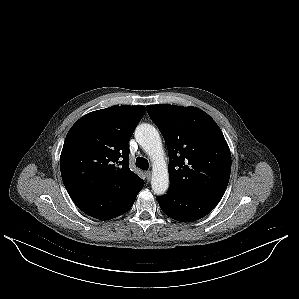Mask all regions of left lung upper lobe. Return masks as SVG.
I'll return each instance as SVG.
<instances>
[{
  "label": "left lung upper lobe",
  "mask_w": 299,
  "mask_h": 299,
  "mask_svg": "<svg viewBox=\"0 0 299 299\" xmlns=\"http://www.w3.org/2000/svg\"><path fill=\"white\" fill-rule=\"evenodd\" d=\"M169 155V192L223 196L230 178L231 154L216 122L196 107L147 106Z\"/></svg>",
  "instance_id": "obj_1"
}]
</instances>
